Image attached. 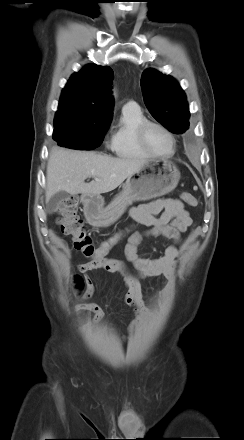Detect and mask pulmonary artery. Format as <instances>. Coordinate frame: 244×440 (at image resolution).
I'll list each match as a JSON object with an SVG mask.
<instances>
[{"label":"pulmonary artery","mask_w":244,"mask_h":440,"mask_svg":"<svg viewBox=\"0 0 244 440\" xmlns=\"http://www.w3.org/2000/svg\"><path fill=\"white\" fill-rule=\"evenodd\" d=\"M136 108L139 107L134 101H129L123 106V109H136Z\"/></svg>","instance_id":"e3ab8cb5"}]
</instances>
